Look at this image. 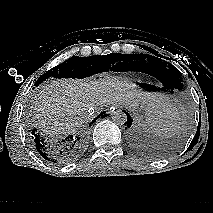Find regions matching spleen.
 I'll use <instances>...</instances> for the list:
<instances>
[{
    "instance_id": "1",
    "label": "spleen",
    "mask_w": 213,
    "mask_h": 213,
    "mask_svg": "<svg viewBox=\"0 0 213 213\" xmlns=\"http://www.w3.org/2000/svg\"><path fill=\"white\" fill-rule=\"evenodd\" d=\"M178 115L177 112L172 110H163L160 111L155 119L150 122V126L154 131L161 135L167 136L175 132L178 128Z\"/></svg>"
}]
</instances>
